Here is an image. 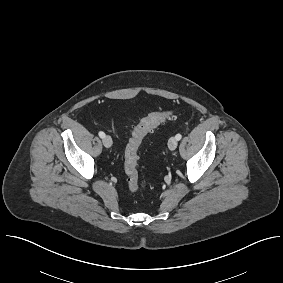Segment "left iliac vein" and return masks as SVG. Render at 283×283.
Here are the masks:
<instances>
[{
    "mask_svg": "<svg viewBox=\"0 0 283 283\" xmlns=\"http://www.w3.org/2000/svg\"><path fill=\"white\" fill-rule=\"evenodd\" d=\"M178 145V140L175 137H171L168 141V147L170 150H175Z\"/></svg>",
    "mask_w": 283,
    "mask_h": 283,
    "instance_id": "4c4485c4",
    "label": "left iliac vein"
}]
</instances>
